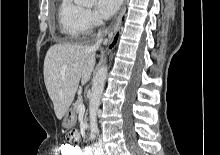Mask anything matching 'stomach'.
I'll return each instance as SVG.
<instances>
[{"label": "stomach", "mask_w": 220, "mask_h": 155, "mask_svg": "<svg viewBox=\"0 0 220 155\" xmlns=\"http://www.w3.org/2000/svg\"><path fill=\"white\" fill-rule=\"evenodd\" d=\"M76 115L73 111H67L64 115L62 126L66 129H70L75 125Z\"/></svg>", "instance_id": "stomach-1"}]
</instances>
